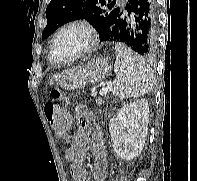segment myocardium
<instances>
[{
  "label": "myocardium",
  "mask_w": 197,
  "mask_h": 181,
  "mask_svg": "<svg viewBox=\"0 0 197 181\" xmlns=\"http://www.w3.org/2000/svg\"><path fill=\"white\" fill-rule=\"evenodd\" d=\"M70 28H80V29L84 30L88 35L87 44L80 52H78L76 55H74L70 59L59 60L56 56L57 41H58L59 37L61 36V34ZM97 42H98V33H97L95 27L91 23H89L87 21H83V20L69 22L59 29V31L56 33V35L53 39L52 47H51L52 60L57 64H70V63L90 54L95 49Z\"/></svg>",
  "instance_id": "1"
}]
</instances>
